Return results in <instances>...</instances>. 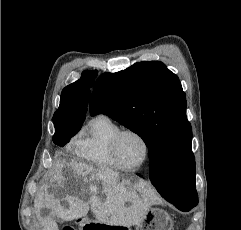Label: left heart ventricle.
Here are the masks:
<instances>
[{
  "label": "left heart ventricle",
  "instance_id": "1",
  "mask_svg": "<svg viewBox=\"0 0 241 230\" xmlns=\"http://www.w3.org/2000/svg\"><path fill=\"white\" fill-rule=\"evenodd\" d=\"M144 155V145L137 136L126 134L121 138L118 146V157L123 164L135 166L143 160Z\"/></svg>",
  "mask_w": 241,
  "mask_h": 230
}]
</instances>
